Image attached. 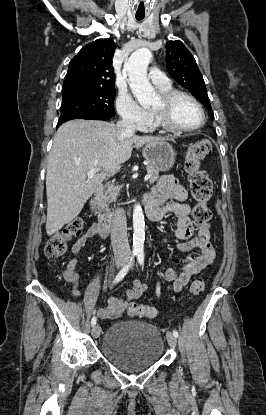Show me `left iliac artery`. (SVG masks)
I'll list each match as a JSON object with an SVG mask.
<instances>
[{
	"instance_id": "1",
	"label": "left iliac artery",
	"mask_w": 266,
	"mask_h": 415,
	"mask_svg": "<svg viewBox=\"0 0 266 415\" xmlns=\"http://www.w3.org/2000/svg\"><path fill=\"white\" fill-rule=\"evenodd\" d=\"M137 259H138L139 264L143 266V264H144V252L142 250L138 251ZM157 291H159V286L157 287ZM173 335L175 337L179 336V334L176 330H173Z\"/></svg>"
}]
</instances>
